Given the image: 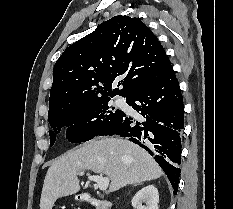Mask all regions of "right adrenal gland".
<instances>
[{"mask_svg":"<svg viewBox=\"0 0 233 209\" xmlns=\"http://www.w3.org/2000/svg\"><path fill=\"white\" fill-rule=\"evenodd\" d=\"M139 184H142V183L135 184L134 186H137V185H139Z\"/></svg>","mask_w":233,"mask_h":209,"instance_id":"obj_1","label":"right adrenal gland"}]
</instances>
